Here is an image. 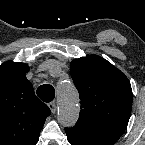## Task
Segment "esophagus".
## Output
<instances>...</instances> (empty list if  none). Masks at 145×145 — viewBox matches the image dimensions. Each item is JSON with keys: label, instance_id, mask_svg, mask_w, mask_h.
I'll list each match as a JSON object with an SVG mask.
<instances>
[{"label": "esophagus", "instance_id": "esophagus-1", "mask_svg": "<svg viewBox=\"0 0 145 145\" xmlns=\"http://www.w3.org/2000/svg\"><path fill=\"white\" fill-rule=\"evenodd\" d=\"M48 107L50 108L51 112L54 114L57 110V107H56V103L53 101V102H50L48 104Z\"/></svg>", "mask_w": 145, "mask_h": 145}]
</instances>
